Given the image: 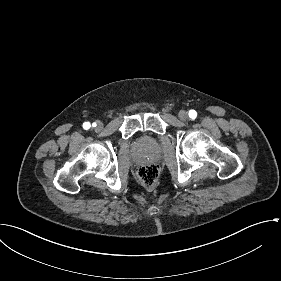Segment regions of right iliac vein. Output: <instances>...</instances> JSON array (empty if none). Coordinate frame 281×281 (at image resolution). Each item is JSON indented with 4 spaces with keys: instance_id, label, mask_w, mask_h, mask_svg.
Wrapping results in <instances>:
<instances>
[{
    "instance_id": "right-iliac-vein-1",
    "label": "right iliac vein",
    "mask_w": 281,
    "mask_h": 281,
    "mask_svg": "<svg viewBox=\"0 0 281 281\" xmlns=\"http://www.w3.org/2000/svg\"><path fill=\"white\" fill-rule=\"evenodd\" d=\"M103 128V124L101 123V122H97V124H96V130L97 131H100L101 129Z\"/></svg>"
}]
</instances>
